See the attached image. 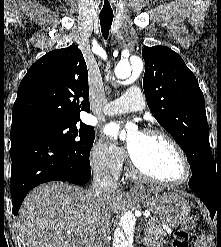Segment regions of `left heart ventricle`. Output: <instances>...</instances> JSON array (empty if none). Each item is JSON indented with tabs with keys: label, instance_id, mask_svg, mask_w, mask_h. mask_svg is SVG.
Returning <instances> with one entry per match:
<instances>
[{
	"label": "left heart ventricle",
	"instance_id": "b2bd125f",
	"mask_svg": "<svg viewBox=\"0 0 221 247\" xmlns=\"http://www.w3.org/2000/svg\"><path fill=\"white\" fill-rule=\"evenodd\" d=\"M128 146L137 162L154 176L172 182L184 177L180 155L165 140L136 132L129 137Z\"/></svg>",
	"mask_w": 221,
	"mask_h": 247
}]
</instances>
